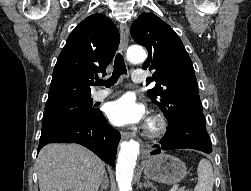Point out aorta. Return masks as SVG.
<instances>
[{
    "label": "aorta",
    "mask_w": 251,
    "mask_h": 191,
    "mask_svg": "<svg viewBox=\"0 0 251 191\" xmlns=\"http://www.w3.org/2000/svg\"><path fill=\"white\" fill-rule=\"evenodd\" d=\"M126 58L129 62L141 64L147 58V54L141 46H130L126 50ZM139 151L138 141H122L116 165V179L118 181L119 191H130L133 177V169L136 165V159Z\"/></svg>",
    "instance_id": "1"
}]
</instances>
